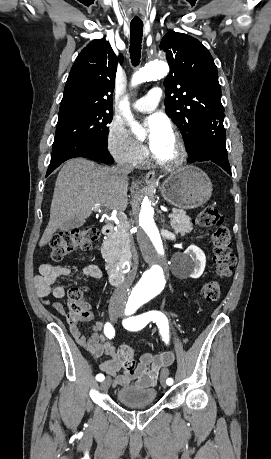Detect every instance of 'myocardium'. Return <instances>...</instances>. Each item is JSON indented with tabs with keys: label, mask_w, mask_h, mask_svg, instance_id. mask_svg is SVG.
Returning a JSON list of instances; mask_svg holds the SVG:
<instances>
[{
	"label": "myocardium",
	"mask_w": 271,
	"mask_h": 459,
	"mask_svg": "<svg viewBox=\"0 0 271 459\" xmlns=\"http://www.w3.org/2000/svg\"><path fill=\"white\" fill-rule=\"evenodd\" d=\"M170 134L172 136V139L174 141V146H175L174 152L171 156L160 157L156 155L152 150L150 152H151L152 158L157 163L161 165L173 167V166H178L181 163H183V161L186 158L187 150H186V145L183 139L181 138L180 134L174 127H171Z\"/></svg>",
	"instance_id": "myocardium-1"
}]
</instances>
